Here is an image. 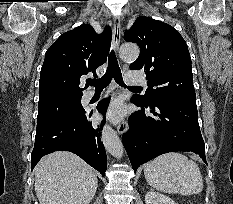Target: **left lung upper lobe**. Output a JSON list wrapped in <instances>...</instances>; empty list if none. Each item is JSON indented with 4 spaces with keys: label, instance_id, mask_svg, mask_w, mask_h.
Here are the masks:
<instances>
[{
    "label": "left lung upper lobe",
    "instance_id": "left-lung-upper-lobe-1",
    "mask_svg": "<svg viewBox=\"0 0 233 204\" xmlns=\"http://www.w3.org/2000/svg\"><path fill=\"white\" fill-rule=\"evenodd\" d=\"M124 39L137 43L141 49L130 69L144 70L148 80L145 95H135V100L143 104L164 97L196 101L188 47L175 28L139 17Z\"/></svg>",
    "mask_w": 233,
    "mask_h": 204
}]
</instances>
